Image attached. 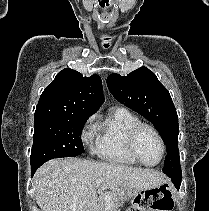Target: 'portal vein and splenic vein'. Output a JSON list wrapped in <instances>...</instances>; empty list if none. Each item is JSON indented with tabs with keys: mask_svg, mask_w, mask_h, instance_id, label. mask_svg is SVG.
<instances>
[{
	"mask_svg": "<svg viewBox=\"0 0 209 211\" xmlns=\"http://www.w3.org/2000/svg\"><path fill=\"white\" fill-rule=\"evenodd\" d=\"M101 183H102V180H96L95 182L97 186L101 185ZM106 200L110 202V196H106Z\"/></svg>",
	"mask_w": 209,
	"mask_h": 211,
	"instance_id": "18ae733b",
	"label": "portal vein and splenic vein"
}]
</instances>
